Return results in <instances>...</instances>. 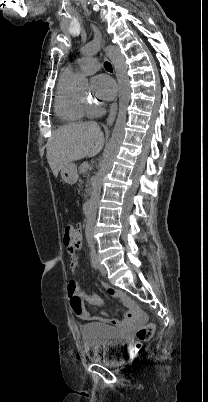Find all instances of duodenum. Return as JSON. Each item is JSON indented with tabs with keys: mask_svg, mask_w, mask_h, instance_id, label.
Wrapping results in <instances>:
<instances>
[{
	"mask_svg": "<svg viewBox=\"0 0 208 402\" xmlns=\"http://www.w3.org/2000/svg\"><path fill=\"white\" fill-rule=\"evenodd\" d=\"M90 208H91V202L90 200L85 201L84 205H83V210L85 214H88L90 212Z\"/></svg>",
	"mask_w": 208,
	"mask_h": 402,
	"instance_id": "410a0bca",
	"label": "duodenum"
}]
</instances>
